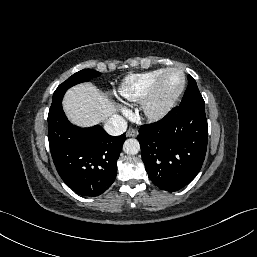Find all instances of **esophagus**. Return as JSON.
<instances>
[{
	"label": "esophagus",
	"instance_id": "esophagus-1",
	"mask_svg": "<svg viewBox=\"0 0 257 257\" xmlns=\"http://www.w3.org/2000/svg\"><path fill=\"white\" fill-rule=\"evenodd\" d=\"M138 134L137 130L135 129H129L127 132H126V136L127 137H136Z\"/></svg>",
	"mask_w": 257,
	"mask_h": 257
}]
</instances>
